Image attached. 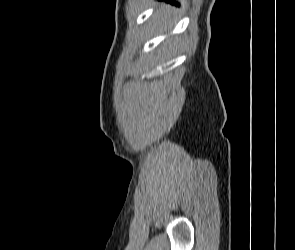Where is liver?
Wrapping results in <instances>:
<instances>
[{
	"mask_svg": "<svg viewBox=\"0 0 295 250\" xmlns=\"http://www.w3.org/2000/svg\"><path fill=\"white\" fill-rule=\"evenodd\" d=\"M154 19L157 26L163 27L164 26V19H165V13H163L161 10H158L154 14ZM170 20H168L169 22ZM164 29H167V26L165 25Z\"/></svg>",
	"mask_w": 295,
	"mask_h": 250,
	"instance_id": "1",
	"label": "liver"
}]
</instances>
